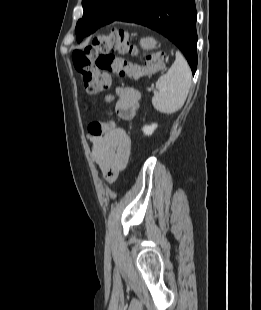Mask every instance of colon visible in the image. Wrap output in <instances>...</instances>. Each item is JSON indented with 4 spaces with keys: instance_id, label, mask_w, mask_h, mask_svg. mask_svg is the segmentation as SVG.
<instances>
[{
    "instance_id": "colon-1",
    "label": "colon",
    "mask_w": 261,
    "mask_h": 310,
    "mask_svg": "<svg viewBox=\"0 0 261 310\" xmlns=\"http://www.w3.org/2000/svg\"><path fill=\"white\" fill-rule=\"evenodd\" d=\"M127 53H136L129 34L121 29H114L109 34L96 37L83 49L75 50L72 60L76 71L81 75L85 89L90 94H96L111 85V74L119 77L138 79L144 75L153 74L163 66V56L160 53L149 54L145 63L139 65L123 57ZM108 126L99 121L88 126L90 134L102 135Z\"/></svg>"
}]
</instances>
